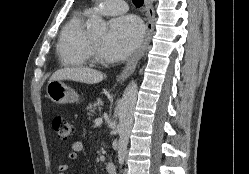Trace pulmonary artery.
Listing matches in <instances>:
<instances>
[{
  "label": "pulmonary artery",
  "mask_w": 249,
  "mask_h": 174,
  "mask_svg": "<svg viewBox=\"0 0 249 174\" xmlns=\"http://www.w3.org/2000/svg\"><path fill=\"white\" fill-rule=\"evenodd\" d=\"M127 9L128 6L124 0H102L97 6L88 8L87 13L98 11L107 15H117L126 12Z\"/></svg>",
  "instance_id": "e3ab8cb5"
}]
</instances>
